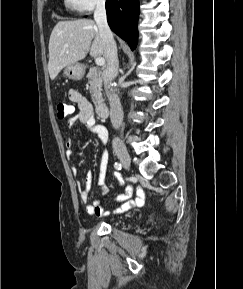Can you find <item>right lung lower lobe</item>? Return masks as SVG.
Returning <instances> with one entry per match:
<instances>
[{
    "label": "right lung lower lobe",
    "mask_w": 243,
    "mask_h": 289,
    "mask_svg": "<svg viewBox=\"0 0 243 289\" xmlns=\"http://www.w3.org/2000/svg\"><path fill=\"white\" fill-rule=\"evenodd\" d=\"M106 12L110 28L134 50L138 41L139 0H107Z\"/></svg>",
    "instance_id": "right-lung-lower-lobe-1"
}]
</instances>
